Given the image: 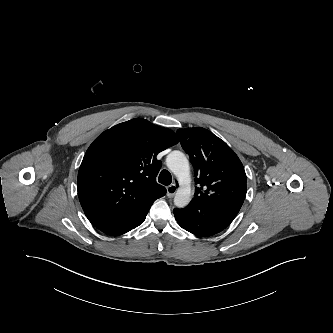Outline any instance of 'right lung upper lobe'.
Masks as SVG:
<instances>
[{"label":"right lung upper lobe","mask_w":333,"mask_h":333,"mask_svg":"<svg viewBox=\"0 0 333 333\" xmlns=\"http://www.w3.org/2000/svg\"><path fill=\"white\" fill-rule=\"evenodd\" d=\"M178 143L176 134L136 118L98 136L87 149L77 179L78 196L96 227L149 211L166 189L156 183L157 154Z\"/></svg>","instance_id":"right-lung-upper-lobe-1"}]
</instances>
